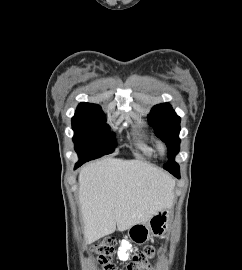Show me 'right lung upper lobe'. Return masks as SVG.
<instances>
[{"mask_svg":"<svg viewBox=\"0 0 242 270\" xmlns=\"http://www.w3.org/2000/svg\"><path fill=\"white\" fill-rule=\"evenodd\" d=\"M99 111H102L99 105L83 102L78 105L75 115H87Z\"/></svg>","mask_w":242,"mask_h":270,"instance_id":"right-lung-upper-lobe-1","label":"right lung upper lobe"}]
</instances>
